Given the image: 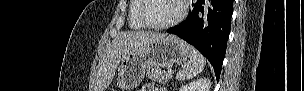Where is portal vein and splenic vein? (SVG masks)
<instances>
[{"label": "portal vein and splenic vein", "mask_w": 304, "mask_h": 91, "mask_svg": "<svg viewBox=\"0 0 304 91\" xmlns=\"http://www.w3.org/2000/svg\"><path fill=\"white\" fill-rule=\"evenodd\" d=\"M168 73H169L170 75H172V74H173V70L169 69V70H168Z\"/></svg>", "instance_id": "1"}]
</instances>
